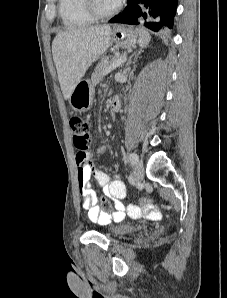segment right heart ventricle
I'll list each match as a JSON object with an SVG mask.
<instances>
[{
  "label": "right heart ventricle",
  "instance_id": "e07e8e85",
  "mask_svg": "<svg viewBox=\"0 0 227 298\" xmlns=\"http://www.w3.org/2000/svg\"><path fill=\"white\" fill-rule=\"evenodd\" d=\"M59 14L69 28L89 26L94 21L85 9L84 0H59Z\"/></svg>",
  "mask_w": 227,
  "mask_h": 298
}]
</instances>
